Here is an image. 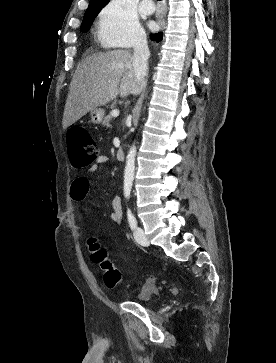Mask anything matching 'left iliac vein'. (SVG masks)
Masks as SVG:
<instances>
[{"mask_svg":"<svg viewBox=\"0 0 276 363\" xmlns=\"http://www.w3.org/2000/svg\"><path fill=\"white\" fill-rule=\"evenodd\" d=\"M134 238L136 242L142 246H148L149 241L141 227H137L134 231Z\"/></svg>","mask_w":276,"mask_h":363,"instance_id":"4c4485c4","label":"left iliac vein"}]
</instances>
